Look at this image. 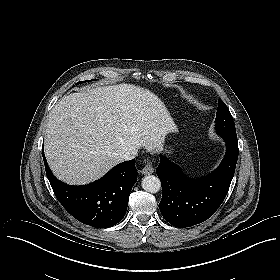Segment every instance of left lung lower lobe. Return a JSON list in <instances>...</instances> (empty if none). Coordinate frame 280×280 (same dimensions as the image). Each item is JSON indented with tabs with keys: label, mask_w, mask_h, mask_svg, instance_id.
Here are the masks:
<instances>
[{
	"label": "left lung lower lobe",
	"mask_w": 280,
	"mask_h": 280,
	"mask_svg": "<svg viewBox=\"0 0 280 280\" xmlns=\"http://www.w3.org/2000/svg\"><path fill=\"white\" fill-rule=\"evenodd\" d=\"M226 153L220 166L199 179L187 178L180 168L160 155L156 173L162 185L159 208L162 216L173 226L190 227L210 218L225 199L238 159L237 138L223 137Z\"/></svg>",
	"instance_id": "1"
}]
</instances>
